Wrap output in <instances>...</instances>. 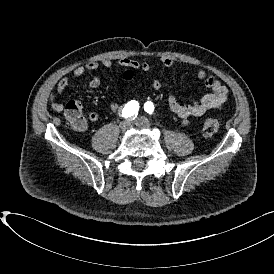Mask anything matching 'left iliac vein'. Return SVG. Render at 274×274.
Instances as JSON below:
<instances>
[{
    "mask_svg": "<svg viewBox=\"0 0 274 274\" xmlns=\"http://www.w3.org/2000/svg\"><path fill=\"white\" fill-rule=\"evenodd\" d=\"M135 125L141 128H149L151 126L149 120L145 117H138L135 120Z\"/></svg>",
    "mask_w": 274,
    "mask_h": 274,
    "instance_id": "left-iliac-vein-1",
    "label": "left iliac vein"
}]
</instances>
